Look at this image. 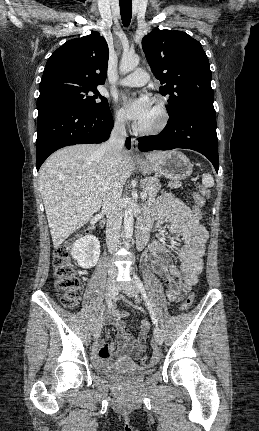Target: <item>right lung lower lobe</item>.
<instances>
[{
	"instance_id": "right-lung-lower-lobe-1",
	"label": "right lung lower lobe",
	"mask_w": 259,
	"mask_h": 431,
	"mask_svg": "<svg viewBox=\"0 0 259 431\" xmlns=\"http://www.w3.org/2000/svg\"><path fill=\"white\" fill-rule=\"evenodd\" d=\"M112 128L110 109L95 111L67 104L43 109L37 119V170L50 154L62 147L106 141ZM126 147H131L130 138Z\"/></svg>"
}]
</instances>
